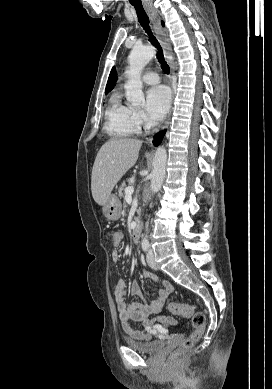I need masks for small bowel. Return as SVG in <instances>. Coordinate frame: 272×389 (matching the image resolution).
<instances>
[{"mask_svg":"<svg viewBox=\"0 0 272 389\" xmlns=\"http://www.w3.org/2000/svg\"><path fill=\"white\" fill-rule=\"evenodd\" d=\"M120 257L118 251L112 253V260L114 262H119ZM144 276L155 282H159L158 277L153 273L145 271ZM159 283L160 289L157 296L148 303L142 299L138 284L133 282L131 291L141 300L131 304L126 303L127 286L125 281L119 280L115 285L114 294L122 327L125 333L133 339L149 340L158 333L161 324L174 322L171 317L161 314L165 300L172 292V286L166 281ZM133 322H141L142 330L134 328L132 326Z\"/></svg>","mask_w":272,"mask_h":389,"instance_id":"obj_1","label":"small bowel"}]
</instances>
